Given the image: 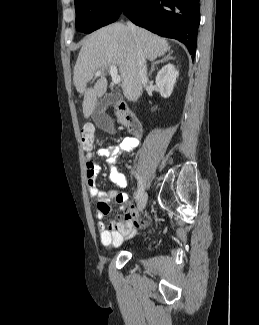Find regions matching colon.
I'll use <instances>...</instances> for the list:
<instances>
[{
    "mask_svg": "<svg viewBox=\"0 0 259 325\" xmlns=\"http://www.w3.org/2000/svg\"><path fill=\"white\" fill-rule=\"evenodd\" d=\"M81 144L86 151H90L94 144V128L90 124L82 126L80 130Z\"/></svg>",
    "mask_w": 259,
    "mask_h": 325,
    "instance_id": "colon-1",
    "label": "colon"
}]
</instances>
